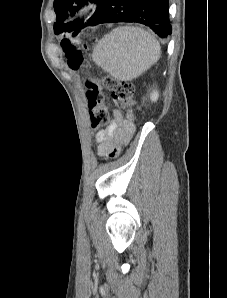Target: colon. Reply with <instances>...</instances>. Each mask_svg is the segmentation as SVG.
Returning a JSON list of instances; mask_svg holds the SVG:
<instances>
[{
  "mask_svg": "<svg viewBox=\"0 0 227 298\" xmlns=\"http://www.w3.org/2000/svg\"><path fill=\"white\" fill-rule=\"evenodd\" d=\"M62 46L69 68L74 71L79 70L83 63L82 49H86V45L81 48L70 40H65ZM101 86L107 89L123 107L134 105V86L132 83L105 76L101 80ZM87 87L89 88L87 102L90 108L92 127L107 125L110 122V114L104 106V94L92 80L87 81Z\"/></svg>",
  "mask_w": 227,
  "mask_h": 298,
  "instance_id": "colon-1",
  "label": "colon"
}]
</instances>
